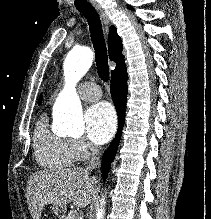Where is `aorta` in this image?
Segmentation results:
<instances>
[{
    "label": "aorta",
    "instance_id": "762f6f07",
    "mask_svg": "<svg viewBox=\"0 0 211 219\" xmlns=\"http://www.w3.org/2000/svg\"><path fill=\"white\" fill-rule=\"evenodd\" d=\"M92 61L91 49L83 46L70 50L64 61L66 86L56 100L54 115L56 121L63 124L64 133L71 137H80L84 133L82 107L74 86L86 74ZM103 213L104 211L99 209L96 219H103Z\"/></svg>",
    "mask_w": 211,
    "mask_h": 219
}]
</instances>
